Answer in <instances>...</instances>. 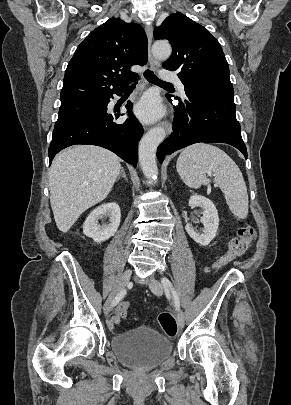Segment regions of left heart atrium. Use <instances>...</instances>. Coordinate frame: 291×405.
I'll use <instances>...</instances> for the list:
<instances>
[{
    "instance_id": "obj_1",
    "label": "left heart atrium",
    "mask_w": 291,
    "mask_h": 405,
    "mask_svg": "<svg viewBox=\"0 0 291 405\" xmlns=\"http://www.w3.org/2000/svg\"><path fill=\"white\" fill-rule=\"evenodd\" d=\"M136 114L146 122H152L163 114V108L155 95L144 96L136 106Z\"/></svg>"
}]
</instances>
